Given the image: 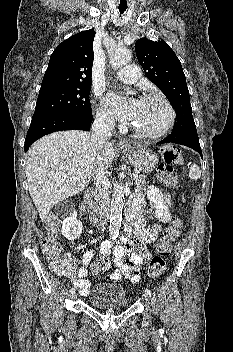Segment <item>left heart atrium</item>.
Instances as JSON below:
<instances>
[{"label":"left heart atrium","instance_id":"39dd6f15","mask_svg":"<svg viewBox=\"0 0 233 352\" xmlns=\"http://www.w3.org/2000/svg\"><path fill=\"white\" fill-rule=\"evenodd\" d=\"M137 100L126 102L117 95H111L109 97V103L112 108L117 112L124 122L132 123L136 114Z\"/></svg>","mask_w":233,"mask_h":352}]
</instances>
